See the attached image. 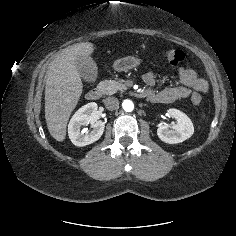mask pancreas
Here are the masks:
<instances>
[{"label":"pancreas","instance_id":"cf45deb5","mask_svg":"<svg viewBox=\"0 0 236 236\" xmlns=\"http://www.w3.org/2000/svg\"><path fill=\"white\" fill-rule=\"evenodd\" d=\"M103 85L105 87L104 94L106 95H112L118 91L123 92L127 89V86L125 84L115 80H105L103 81Z\"/></svg>","mask_w":236,"mask_h":236}]
</instances>
